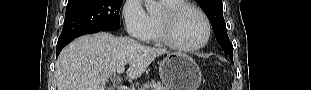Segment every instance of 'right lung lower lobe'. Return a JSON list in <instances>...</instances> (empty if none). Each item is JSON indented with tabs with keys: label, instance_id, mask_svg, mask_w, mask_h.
Listing matches in <instances>:
<instances>
[{
	"label": "right lung lower lobe",
	"instance_id": "1",
	"mask_svg": "<svg viewBox=\"0 0 311 90\" xmlns=\"http://www.w3.org/2000/svg\"><path fill=\"white\" fill-rule=\"evenodd\" d=\"M96 32H100V31H91V32H84V33H81V34H78L76 36H73L67 40H64V41H61V42H57V56L59 55L60 51L62 50V48L64 46H66L68 43H70L74 38L78 37V36H81V35H84V34H90V33H96Z\"/></svg>",
	"mask_w": 311,
	"mask_h": 90
}]
</instances>
